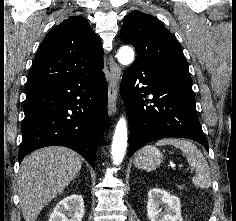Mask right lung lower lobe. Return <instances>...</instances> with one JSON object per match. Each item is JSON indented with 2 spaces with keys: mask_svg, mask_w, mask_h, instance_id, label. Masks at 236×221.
Masks as SVG:
<instances>
[{
  "mask_svg": "<svg viewBox=\"0 0 236 221\" xmlns=\"http://www.w3.org/2000/svg\"><path fill=\"white\" fill-rule=\"evenodd\" d=\"M25 92L19 162L36 149L58 145L75 150L95 168L107 118L104 73L67 78Z\"/></svg>",
  "mask_w": 236,
  "mask_h": 221,
  "instance_id": "98d812e1",
  "label": "right lung lower lobe"
}]
</instances>
